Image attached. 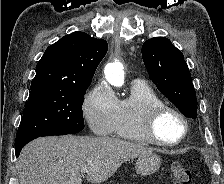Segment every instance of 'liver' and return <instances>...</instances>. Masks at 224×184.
Here are the masks:
<instances>
[{
  "instance_id": "obj_1",
  "label": "liver",
  "mask_w": 224,
  "mask_h": 184,
  "mask_svg": "<svg viewBox=\"0 0 224 184\" xmlns=\"http://www.w3.org/2000/svg\"><path fill=\"white\" fill-rule=\"evenodd\" d=\"M152 153L143 145L110 137L50 136L28 143L20 153V184H100L126 161Z\"/></svg>"
}]
</instances>
